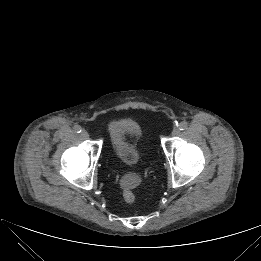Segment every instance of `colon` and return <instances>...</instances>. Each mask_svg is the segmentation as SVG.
I'll use <instances>...</instances> for the list:
<instances>
[{
  "instance_id": "5ec220e1",
  "label": "colon",
  "mask_w": 261,
  "mask_h": 261,
  "mask_svg": "<svg viewBox=\"0 0 261 261\" xmlns=\"http://www.w3.org/2000/svg\"><path fill=\"white\" fill-rule=\"evenodd\" d=\"M122 197L126 203H133L135 200V194L132 190V185L129 182L122 184Z\"/></svg>"
}]
</instances>
